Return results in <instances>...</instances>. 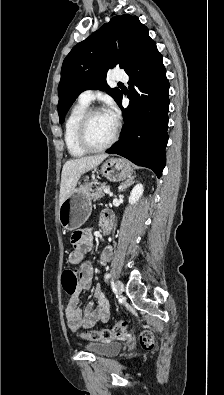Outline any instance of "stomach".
<instances>
[{"instance_id":"0dacf381","label":"stomach","mask_w":224,"mask_h":395,"mask_svg":"<svg viewBox=\"0 0 224 395\" xmlns=\"http://www.w3.org/2000/svg\"><path fill=\"white\" fill-rule=\"evenodd\" d=\"M133 169L128 161L121 158H110L101 166V174L112 182L130 177ZM92 183L75 188L59 206V223L67 230L81 227L89 218L92 210Z\"/></svg>"}]
</instances>
